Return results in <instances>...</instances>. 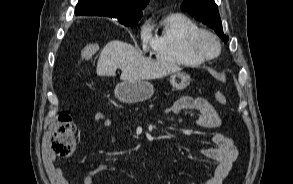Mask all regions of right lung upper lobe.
<instances>
[{
	"instance_id": "cb5924a9",
	"label": "right lung upper lobe",
	"mask_w": 293,
	"mask_h": 184,
	"mask_svg": "<svg viewBox=\"0 0 293 184\" xmlns=\"http://www.w3.org/2000/svg\"><path fill=\"white\" fill-rule=\"evenodd\" d=\"M149 0H79L75 14L106 16L124 21L139 20Z\"/></svg>"
}]
</instances>
